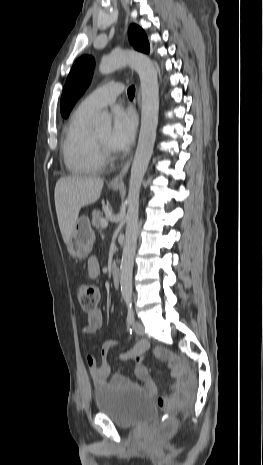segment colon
I'll return each mask as SVG.
<instances>
[{"label":"colon","instance_id":"5ec220e1","mask_svg":"<svg viewBox=\"0 0 263 465\" xmlns=\"http://www.w3.org/2000/svg\"><path fill=\"white\" fill-rule=\"evenodd\" d=\"M77 298L81 308L90 313L97 309L100 300L99 289L92 284H82L77 289ZM186 400V380L181 379L175 386L173 394L169 397L158 399L159 407L168 413L165 420L159 427V432L163 435L169 434L177 426L176 412Z\"/></svg>","mask_w":263,"mask_h":465}]
</instances>
